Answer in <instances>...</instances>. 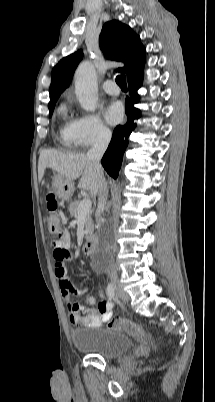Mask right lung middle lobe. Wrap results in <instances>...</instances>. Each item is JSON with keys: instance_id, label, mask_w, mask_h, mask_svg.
<instances>
[{"instance_id": "obj_1", "label": "right lung middle lobe", "mask_w": 215, "mask_h": 402, "mask_svg": "<svg viewBox=\"0 0 215 402\" xmlns=\"http://www.w3.org/2000/svg\"><path fill=\"white\" fill-rule=\"evenodd\" d=\"M58 100V98H54L52 100H50L49 102V115L51 116L55 107V103Z\"/></svg>"}]
</instances>
